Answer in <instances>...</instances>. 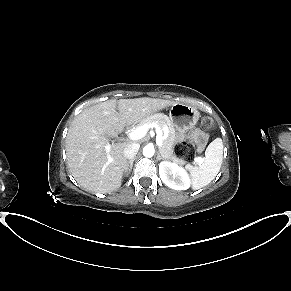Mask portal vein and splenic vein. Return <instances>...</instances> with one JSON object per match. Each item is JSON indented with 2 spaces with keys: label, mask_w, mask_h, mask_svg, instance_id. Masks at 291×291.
Segmentation results:
<instances>
[{
  "label": "portal vein and splenic vein",
  "mask_w": 291,
  "mask_h": 291,
  "mask_svg": "<svg viewBox=\"0 0 291 291\" xmlns=\"http://www.w3.org/2000/svg\"><path fill=\"white\" fill-rule=\"evenodd\" d=\"M150 128H155V130H156V144L159 147L162 146L163 140L168 137V134L163 135L162 129L155 123L144 124V125L138 127L136 130H133L131 133H129L128 137L132 141L140 140L146 136V134ZM107 149H109V147H107ZM194 160H195V162H198L200 164L202 163L201 157H195Z\"/></svg>",
  "instance_id": "obj_1"
}]
</instances>
